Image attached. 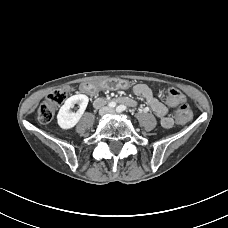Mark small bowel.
<instances>
[{
	"label": "small bowel",
	"mask_w": 228,
	"mask_h": 228,
	"mask_svg": "<svg viewBox=\"0 0 228 228\" xmlns=\"http://www.w3.org/2000/svg\"><path fill=\"white\" fill-rule=\"evenodd\" d=\"M129 84L126 81L110 79L101 82L97 86L84 85L82 90L84 92H93L96 89H126ZM133 94L143 97L153 113L157 116L160 124L164 128H171L173 126V119L168 115L169 108L167 105L159 101L153 90L145 84H136L132 86Z\"/></svg>",
	"instance_id": "1"
}]
</instances>
